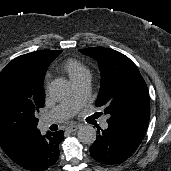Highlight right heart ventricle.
Masks as SVG:
<instances>
[{"instance_id": "1", "label": "right heart ventricle", "mask_w": 171, "mask_h": 171, "mask_svg": "<svg viewBox=\"0 0 171 171\" xmlns=\"http://www.w3.org/2000/svg\"><path fill=\"white\" fill-rule=\"evenodd\" d=\"M63 70L68 74L74 82L85 76H90L88 68L79 60L68 59L62 65Z\"/></svg>"}]
</instances>
